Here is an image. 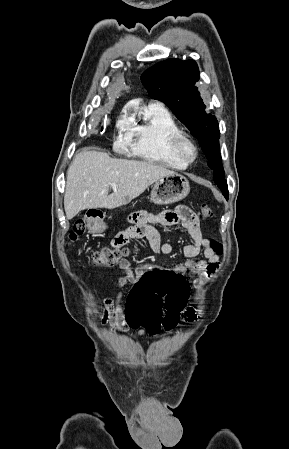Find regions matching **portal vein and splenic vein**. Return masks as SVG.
<instances>
[{
    "label": "portal vein and splenic vein",
    "mask_w": 289,
    "mask_h": 449,
    "mask_svg": "<svg viewBox=\"0 0 289 449\" xmlns=\"http://www.w3.org/2000/svg\"><path fill=\"white\" fill-rule=\"evenodd\" d=\"M110 186H111L114 190H116V186H117L116 183H111Z\"/></svg>",
    "instance_id": "18ae733b"
}]
</instances>
